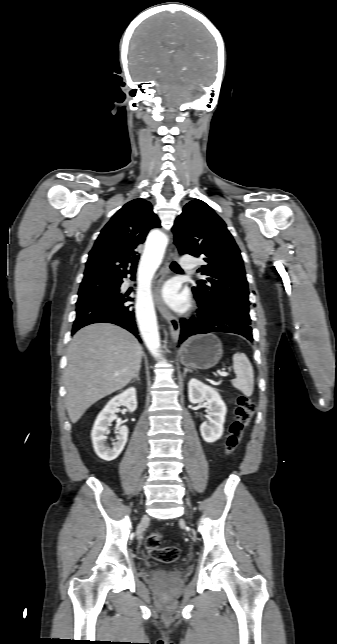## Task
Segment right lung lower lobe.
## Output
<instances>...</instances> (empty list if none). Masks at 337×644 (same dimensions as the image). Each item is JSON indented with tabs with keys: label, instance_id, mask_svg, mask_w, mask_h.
Returning a JSON list of instances; mask_svg holds the SVG:
<instances>
[{
	"label": "right lung lower lobe",
	"instance_id": "1",
	"mask_svg": "<svg viewBox=\"0 0 337 644\" xmlns=\"http://www.w3.org/2000/svg\"><path fill=\"white\" fill-rule=\"evenodd\" d=\"M135 272L136 268L131 269L118 279V289L114 294L77 305L72 335L80 328L89 324L106 322L127 329L141 342L138 335L134 310L132 305L126 304V302L133 301V299L120 293V285L123 282L122 278H126L127 274H131L132 278H134Z\"/></svg>",
	"mask_w": 337,
	"mask_h": 644
}]
</instances>
